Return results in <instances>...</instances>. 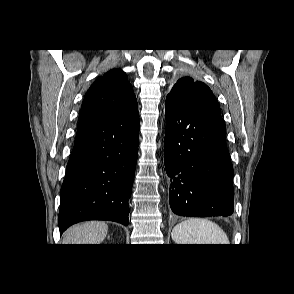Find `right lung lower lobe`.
Returning <instances> with one entry per match:
<instances>
[{"label":"right lung lower lobe","instance_id":"obj_1","mask_svg":"<svg viewBox=\"0 0 294 294\" xmlns=\"http://www.w3.org/2000/svg\"><path fill=\"white\" fill-rule=\"evenodd\" d=\"M138 141L136 100L109 116L79 121L60 192V234L85 220L128 225Z\"/></svg>","mask_w":294,"mask_h":294}]
</instances>
